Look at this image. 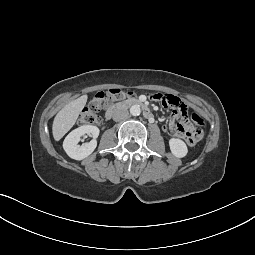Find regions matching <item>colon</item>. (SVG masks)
<instances>
[{
	"label": "colon",
	"instance_id": "1",
	"mask_svg": "<svg viewBox=\"0 0 255 255\" xmlns=\"http://www.w3.org/2000/svg\"><path fill=\"white\" fill-rule=\"evenodd\" d=\"M127 95V92L118 88H112L105 92L101 91L96 93L89 105L83 110L79 120L80 123L82 125L98 124L100 122L98 112L104 109L108 102L120 101L124 99ZM149 96L161 102L165 98H170L173 101L172 107L174 108L179 105L178 99L170 95L149 94ZM184 111V118H182L181 122L176 124L173 132L176 136L185 140L187 144L194 145L198 143L203 137V131L201 128V125L203 124V119L195 113L189 115L187 110Z\"/></svg>",
	"mask_w": 255,
	"mask_h": 255
}]
</instances>
